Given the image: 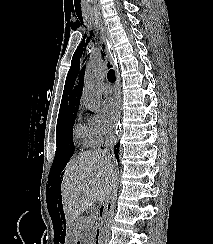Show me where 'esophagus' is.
Returning <instances> with one entry per match:
<instances>
[{"instance_id":"34e87169","label":"esophagus","mask_w":213,"mask_h":244,"mask_svg":"<svg viewBox=\"0 0 213 244\" xmlns=\"http://www.w3.org/2000/svg\"><path fill=\"white\" fill-rule=\"evenodd\" d=\"M103 30L104 31L107 30L106 26L103 27ZM105 59H106L107 66L109 68L113 67V69L115 70V74H116V93H117V98H118V101H119V104H120V102H121L120 73H119V70H118V65H117L113 55L111 53H109V52H106ZM119 116H120V114H119ZM117 126H118V124L116 125V129H117Z\"/></svg>"}]
</instances>
